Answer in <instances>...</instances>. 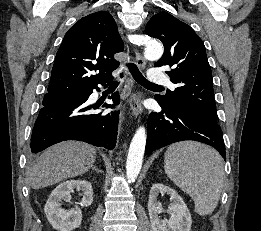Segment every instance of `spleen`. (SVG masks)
Returning a JSON list of instances; mask_svg holds the SVG:
<instances>
[{
    "mask_svg": "<svg viewBox=\"0 0 261 231\" xmlns=\"http://www.w3.org/2000/svg\"><path fill=\"white\" fill-rule=\"evenodd\" d=\"M164 169L168 178L191 196L199 215L214 211L225 177L223 160L216 150L192 141L172 144L164 155Z\"/></svg>",
    "mask_w": 261,
    "mask_h": 231,
    "instance_id": "3e777b00",
    "label": "spleen"
}]
</instances>
